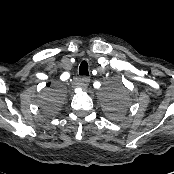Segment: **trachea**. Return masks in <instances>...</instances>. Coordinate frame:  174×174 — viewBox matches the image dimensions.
<instances>
[{
    "label": "trachea",
    "instance_id": "obj_1",
    "mask_svg": "<svg viewBox=\"0 0 174 174\" xmlns=\"http://www.w3.org/2000/svg\"><path fill=\"white\" fill-rule=\"evenodd\" d=\"M79 74H80V75L89 76L88 63H87L86 61H83V62L80 64V67H79Z\"/></svg>",
    "mask_w": 174,
    "mask_h": 174
}]
</instances>
